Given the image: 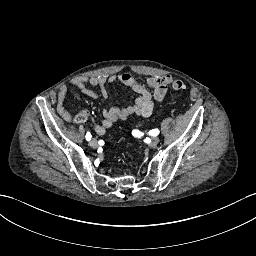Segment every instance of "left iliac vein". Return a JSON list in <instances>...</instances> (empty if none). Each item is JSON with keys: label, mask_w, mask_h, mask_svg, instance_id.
<instances>
[{"label": "left iliac vein", "mask_w": 256, "mask_h": 256, "mask_svg": "<svg viewBox=\"0 0 256 256\" xmlns=\"http://www.w3.org/2000/svg\"><path fill=\"white\" fill-rule=\"evenodd\" d=\"M158 143H159V138L158 137H153L151 139V142H150L149 145H150V147L154 148L158 145Z\"/></svg>", "instance_id": "4c4485c4"}]
</instances>
